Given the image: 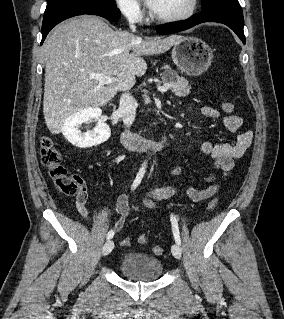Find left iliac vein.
Masks as SVG:
<instances>
[{"instance_id":"4c4485c4","label":"left iliac vein","mask_w":284,"mask_h":319,"mask_svg":"<svg viewBox=\"0 0 284 319\" xmlns=\"http://www.w3.org/2000/svg\"><path fill=\"white\" fill-rule=\"evenodd\" d=\"M171 252L173 254V256L177 259H180L181 258V255H182V250L181 248L179 247L178 244H173L172 247H171Z\"/></svg>"}]
</instances>
